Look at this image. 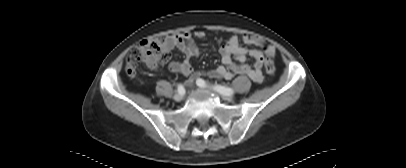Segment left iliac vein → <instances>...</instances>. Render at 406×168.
<instances>
[{
    "label": "left iliac vein",
    "instance_id": "1",
    "mask_svg": "<svg viewBox=\"0 0 406 168\" xmlns=\"http://www.w3.org/2000/svg\"><path fill=\"white\" fill-rule=\"evenodd\" d=\"M207 90L213 91V90L210 89V88H207ZM221 97H222L224 100H226V101H231V100L233 99V96H232V95H222V94H221Z\"/></svg>",
    "mask_w": 406,
    "mask_h": 168
}]
</instances>
